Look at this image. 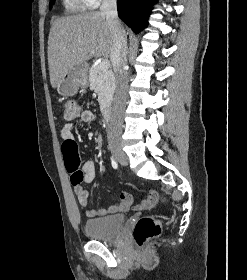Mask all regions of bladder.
<instances>
[{"instance_id": "bladder-1", "label": "bladder", "mask_w": 247, "mask_h": 280, "mask_svg": "<svg viewBox=\"0 0 247 280\" xmlns=\"http://www.w3.org/2000/svg\"><path fill=\"white\" fill-rule=\"evenodd\" d=\"M125 224L124 215H113L89 219L84 223V234L93 240L111 241L116 239Z\"/></svg>"}]
</instances>
